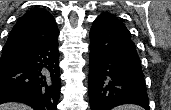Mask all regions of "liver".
Segmentation results:
<instances>
[{
  "mask_svg": "<svg viewBox=\"0 0 171 110\" xmlns=\"http://www.w3.org/2000/svg\"><path fill=\"white\" fill-rule=\"evenodd\" d=\"M0 110H30L29 107L18 103H5L0 105Z\"/></svg>",
  "mask_w": 171,
  "mask_h": 110,
  "instance_id": "liver-1",
  "label": "liver"
}]
</instances>
